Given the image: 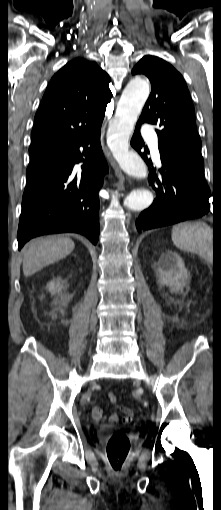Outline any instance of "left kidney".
Masks as SVG:
<instances>
[{"label":"left kidney","mask_w":221,"mask_h":510,"mask_svg":"<svg viewBox=\"0 0 221 510\" xmlns=\"http://www.w3.org/2000/svg\"><path fill=\"white\" fill-rule=\"evenodd\" d=\"M159 280L170 288L172 293L183 290L189 275L181 257L173 251L163 253L158 261Z\"/></svg>","instance_id":"1"}]
</instances>
